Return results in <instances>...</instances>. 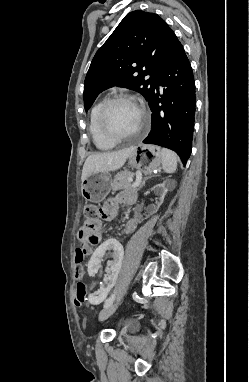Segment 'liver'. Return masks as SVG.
Returning a JSON list of instances; mask_svg holds the SVG:
<instances>
[{
  "mask_svg": "<svg viewBox=\"0 0 249 382\" xmlns=\"http://www.w3.org/2000/svg\"><path fill=\"white\" fill-rule=\"evenodd\" d=\"M133 151V147L114 152L90 155L83 166L81 180L84 181L95 172H108L121 168Z\"/></svg>",
  "mask_w": 249,
  "mask_h": 382,
  "instance_id": "1",
  "label": "liver"
}]
</instances>
